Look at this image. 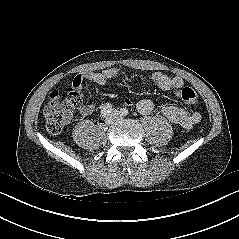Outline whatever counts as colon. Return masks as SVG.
Segmentation results:
<instances>
[{"mask_svg": "<svg viewBox=\"0 0 239 239\" xmlns=\"http://www.w3.org/2000/svg\"><path fill=\"white\" fill-rule=\"evenodd\" d=\"M182 100L193 106L198 101L195 90L183 87L180 91ZM81 100L78 94L70 88L53 93L43 110L46 128L50 133L58 134L71 121L73 113L80 107Z\"/></svg>", "mask_w": 239, "mask_h": 239, "instance_id": "colon-1", "label": "colon"}]
</instances>
